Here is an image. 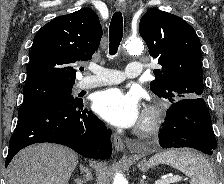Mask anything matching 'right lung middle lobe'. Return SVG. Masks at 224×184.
<instances>
[{"label": "right lung middle lobe", "instance_id": "1", "mask_svg": "<svg viewBox=\"0 0 224 184\" xmlns=\"http://www.w3.org/2000/svg\"><path fill=\"white\" fill-rule=\"evenodd\" d=\"M73 84L54 82H37L25 84L23 87L24 99L18 114L38 104L57 102L63 104L76 103L80 99L72 96Z\"/></svg>", "mask_w": 224, "mask_h": 184}]
</instances>
